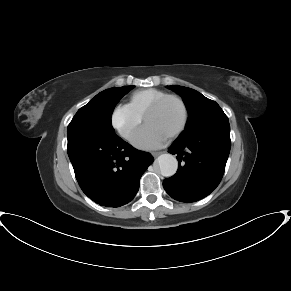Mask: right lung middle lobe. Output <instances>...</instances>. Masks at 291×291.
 I'll use <instances>...</instances> for the list:
<instances>
[{"mask_svg": "<svg viewBox=\"0 0 291 291\" xmlns=\"http://www.w3.org/2000/svg\"><path fill=\"white\" fill-rule=\"evenodd\" d=\"M134 86L106 89L80 108L68 125L67 134L90 133L101 136L116 135L111 116L119 100Z\"/></svg>", "mask_w": 291, "mask_h": 291, "instance_id": "right-lung-middle-lobe-1", "label": "right lung middle lobe"}]
</instances>
